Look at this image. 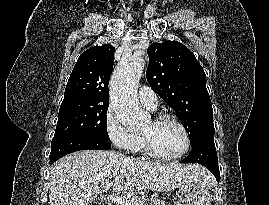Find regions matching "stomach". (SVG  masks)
I'll return each mask as SVG.
<instances>
[{
	"label": "stomach",
	"mask_w": 269,
	"mask_h": 205,
	"mask_svg": "<svg viewBox=\"0 0 269 205\" xmlns=\"http://www.w3.org/2000/svg\"><path fill=\"white\" fill-rule=\"evenodd\" d=\"M177 193L178 199L174 202V205H210L211 202L208 188L193 179L177 187ZM152 203V205L159 204Z\"/></svg>",
	"instance_id": "obj_1"
}]
</instances>
